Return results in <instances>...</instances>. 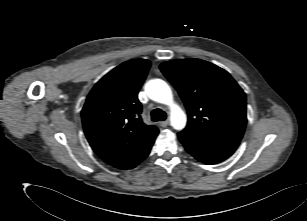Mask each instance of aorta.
I'll return each instance as SVG.
<instances>
[{
    "instance_id": "1",
    "label": "aorta",
    "mask_w": 307,
    "mask_h": 221,
    "mask_svg": "<svg viewBox=\"0 0 307 221\" xmlns=\"http://www.w3.org/2000/svg\"><path fill=\"white\" fill-rule=\"evenodd\" d=\"M149 98L158 103L168 105L170 108L171 125L176 130H181L186 125V114L173 101V95L169 85L161 79L150 80L145 86Z\"/></svg>"
}]
</instances>
